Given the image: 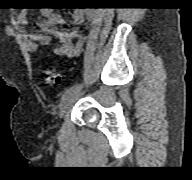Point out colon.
<instances>
[{
    "mask_svg": "<svg viewBox=\"0 0 192 180\" xmlns=\"http://www.w3.org/2000/svg\"><path fill=\"white\" fill-rule=\"evenodd\" d=\"M42 73L46 85L53 86L60 82V74L55 68L46 66L43 68Z\"/></svg>",
    "mask_w": 192,
    "mask_h": 180,
    "instance_id": "5ec220e1",
    "label": "colon"
}]
</instances>
